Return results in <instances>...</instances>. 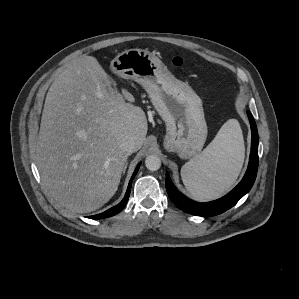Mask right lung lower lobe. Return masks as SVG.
Segmentation results:
<instances>
[{"mask_svg":"<svg viewBox=\"0 0 299 299\" xmlns=\"http://www.w3.org/2000/svg\"><path fill=\"white\" fill-rule=\"evenodd\" d=\"M139 167H140V164H138V166L136 167V169H135V171L133 173V176H132V178H131V180L129 182V185H128V188H127V191H126V194H125V197L123 198V200L117 206L112 207L109 210H107V211H105V212H103L101 214L94 215V216H89L88 218H91V219H102V218H106V217H111V216L119 213L124 208V206L126 205L128 199H129L131 185H132V180L135 177V175L137 174Z\"/></svg>","mask_w":299,"mask_h":299,"instance_id":"98d812e1","label":"right lung lower lobe"}]
</instances>
